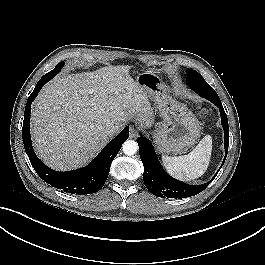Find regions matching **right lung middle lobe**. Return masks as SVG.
<instances>
[{"mask_svg": "<svg viewBox=\"0 0 265 265\" xmlns=\"http://www.w3.org/2000/svg\"><path fill=\"white\" fill-rule=\"evenodd\" d=\"M63 65H64V62H63V61L60 62V63L55 67V69L52 70V71H50L49 73H47L46 76H49V77L53 78L56 74H58V73L60 72V70H61V68L63 67Z\"/></svg>", "mask_w": 265, "mask_h": 265, "instance_id": "obj_1", "label": "right lung middle lobe"}]
</instances>
